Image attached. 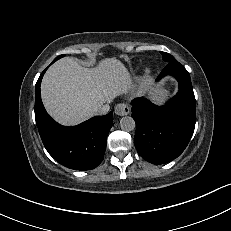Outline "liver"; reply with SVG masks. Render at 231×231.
<instances>
[{"mask_svg": "<svg viewBox=\"0 0 231 231\" xmlns=\"http://www.w3.org/2000/svg\"><path fill=\"white\" fill-rule=\"evenodd\" d=\"M132 84L124 64L116 58L84 68L74 58H63L45 73L41 96L47 112L62 125H77L92 116L93 108L111 103Z\"/></svg>", "mask_w": 231, "mask_h": 231, "instance_id": "liver-1", "label": "liver"}]
</instances>
